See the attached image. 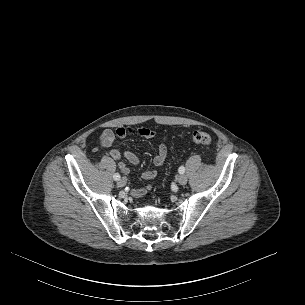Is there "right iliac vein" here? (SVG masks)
I'll return each instance as SVG.
<instances>
[{
    "mask_svg": "<svg viewBox=\"0 0 305 305\" xmlns=\"http://www.w3.org/2000/svg\"><path fill=\"white\" fill-rule=\"evenodd\" d=\"M126 183H127L126 178H121V179L118 181L117 185H118L119 187H124V186L126 185Z\"/></svg>",
    "mask_w": 305,
    "mask_h": 305,
    "instance_id": "63e3f726",
    "label": "right iliac vein"
}]
</instances>
